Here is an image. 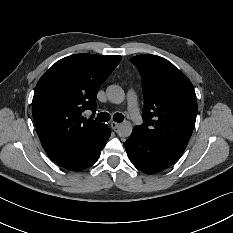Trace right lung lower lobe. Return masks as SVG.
<instances>
[{
    "label": "right lung lower lobe",
    "instance_id": "obj_1",
    "mask_svg": "<svg viewBox=\"0 0 233 233\" xmlns=\"http://www.w3.org/2000/svg\"><path fill=\"white\" fill-rule=\"evenodd\" d=\"M111 134L110 129L106 126L104 134L100 138L90 143L85 148L76 153L55 161L59 166L73 171H81L93 165L100 157V152L104 148Z\"/></svg>",
    "mask_w": 233,
    "mask_h": 233
}]
</instances>
